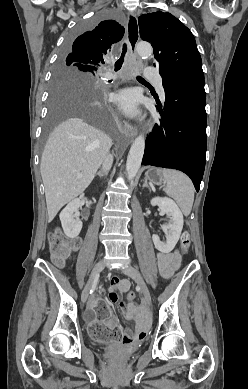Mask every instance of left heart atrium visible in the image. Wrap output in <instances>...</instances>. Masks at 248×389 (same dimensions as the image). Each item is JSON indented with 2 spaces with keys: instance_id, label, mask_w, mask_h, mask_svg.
Listing matches in <instances>:
<instances>
[{
  "instance_id": "1",
  "label": "left heart atrium",
  "mask_w": 248,
  "mask_h": 389,
  "mask_svg": "<svg viewBox=\"0 0 248 389\" xmlns=\"http://www.w3.org/2000/svg\"><path fill=\"white\" fill-rule=\"evenodd\" d=\"M138 95L132 89L122 90L115 96V101L121 110L129 116L138 114Z\"/></svg>"
}]
</instances>
